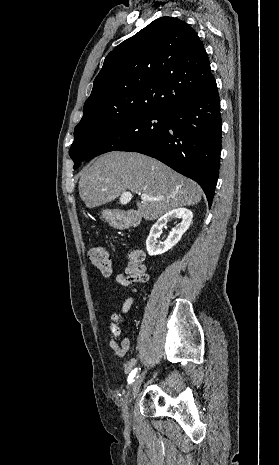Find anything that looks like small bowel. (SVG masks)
Instances as JSON below:
<instances>
[{
  "mask_svg": "<svg viewBox=\"0 0 279 465\" xmlns=\"http://www.w3.org/2000/svg\"><path fill=\"white\" fill-rule=\"evenodd\" d=\"M115 283H116L117 286H120V287H127L129 285L128 279L123 274L116 275ZM133 301H134V299H133L132 296H127L125 298L123 304H122L121 311L123 313H127L130 310V308H131V306L133 304ZM109 346L114 351L116 356L120 360L123 361L122 372L124 374H128L129 372L131 373L133 371L132 369L137 364V359L136 358H131V359L125 358V355H126L127 351L130 348V340H129V338L124 337L121 340L120 344H118L116 342L114 336L110 335Z\"/></svg>",
  "mask_w": 279,
  "mask_h": 465,
  "instance_id": "small-bowel-1",
  "label": "small bowel"
}]
</instances>
